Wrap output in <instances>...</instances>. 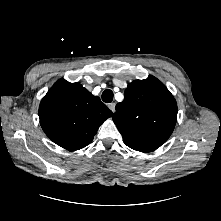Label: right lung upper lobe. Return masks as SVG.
Returning a JSON list of instances; mask_svg holds the SVG:
<instances>
[{
	"mask_svg": "<svg viewBox=\"0 0 221 221\" xmlns=\"http://www.w3.org/2000/svg\"><path fill=\"white\" fill-rule=\"evenodd\" d=\"M112 111L99 97L78 82L58 80L39 106V118L45 134L70 151L86 147Z\"/></svg>",
	"mask_w": 221,
	"mask_h": 221,
	"instance_id": "right-lung-upper-lobe-1",
	"label": "right lung upper lobe"
}]
</instances>
